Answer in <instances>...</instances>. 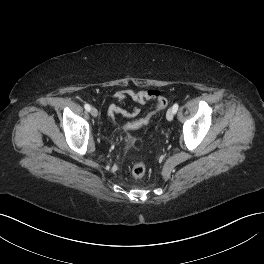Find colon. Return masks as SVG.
I'll use <instances>...</instances> for the list:
<instances>
[{"label":"colon","mask_w":264,"mask_h":264,"mask_svg":"<svg viewBox=\"0 0 264 264\" xmlns=\"http://www.w3.org/2000/svg\"><path fill=\"white\" fill-rule=\"evenodd\" d=\"M166 106H167L166 98H164L162 96L158 97L155 100L153 109L148 114H146L144 117H142L138 120H135V121L127 124L126 128L129 130H135V129L141 128L144 125H147L150 122L152 116L156 112L164 109ZM145 173H146V165L144 162H138V163L133 165L132 170H131V174L133 177L141 178L145 175Z\"/></svg>","instance_id":"5ec220e1"}]
</instances>
